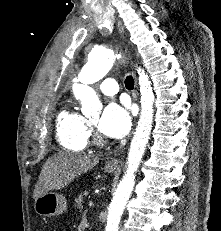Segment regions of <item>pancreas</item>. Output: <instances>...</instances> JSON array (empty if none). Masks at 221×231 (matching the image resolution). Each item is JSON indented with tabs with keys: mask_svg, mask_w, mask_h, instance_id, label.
<instances>
[{
	"mask_svg": "<svg viewBox=\"0 0 221 231\" xmlns=\"http://www.w3.org/2000/svg\"><path fill=\"white\" fill-rule=\"evenodd\" d=\"M87 192L80 193L75 198V206H77L78 209L82 208V204L84 203V195H86Z\"/></svg>",
	"mask_w": 221,
	"mask_h": 231,
	"instance_id": "1",
	"label": "pancreas"
}]
</instances>
